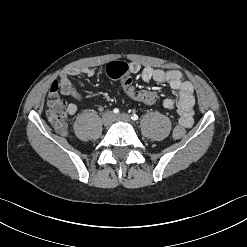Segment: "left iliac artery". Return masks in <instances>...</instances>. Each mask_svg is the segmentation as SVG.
<instances>
[{
    "label": "left iliac artery",
    "instance_id": "44dca946",
    "mask_svg": "<svg viewBox=\"0 0 247 247\" xmlns=\"http://www.w3.org/2000/svg\"><path fill=\"white\" fill-rule=\"evenodd\" d=\"M131 119L134 120V121L138 120V115L137 114H132L131 115Z\"/></svg>",
    "mask_w": 247,
    "mask_h": 247
}]
</instances>
